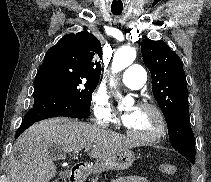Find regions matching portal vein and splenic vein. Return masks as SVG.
<instances>
[{"label": "portal vein and splenic vein", "mask_w": 211, "mask_h": 182, "mask_svg": "<svg viewBox=\"0 0 211 182\" xmlns=\"http://www.w3.org/2000/svg\"><path fill=\"white\" fill-rule=\"evenodd\" d=\"M91 149V147H86L85 151H89Z\"/></svg>", "instance_id": "18ae733b"}]
</instances>
